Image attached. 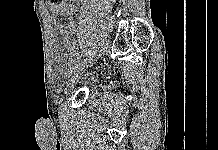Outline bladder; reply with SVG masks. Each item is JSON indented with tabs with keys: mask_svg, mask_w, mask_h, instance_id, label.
Returning a JSON list of instances; mask_svg holds the SVG:
<instances>
[{
	"mask_svg": "<svg viewBox=\"0 0 218 150\" xmlns=\"http://www.w3.org/2000/svg\"><path fill=\"white\" fill-rule=\"evenodd\" d=\"M54 52L57 62L53 67V78L60 92L63 93L65 90H69L74 84L82 81L86 82L89 86L97 82L99 78L97 71H89L81 75L78 71H75L64 63L66 53L63 45L57 44Z\"/></svg>",
	"mask_w": 218,
	"mask_h": 150,
	"instance_id": "bladder-1",
	"label": "bladder"
}]
</instances>
